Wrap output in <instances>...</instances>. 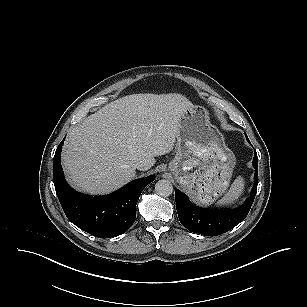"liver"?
<instances>
[{
	"label": "liver",
	"instance_id": "obj_1",
	"mask_svg": "<svg viewBox=\"0 0 307 307\" xmlns=\"http://www.w3.org/2000/svg\"><path fill=\"white\" fill-rule=\"evenodd\" d=\"M192 106L175 93L133 94L105 105L69 132L62 152L69 183L93 195L122 187L135 177L136 161L149 169L155 156L173 150L180 117Z\"/></svg>",
	"mask_w": 307,
	"mask_h": 307
}]
</instances>
